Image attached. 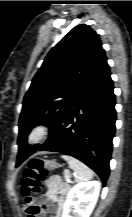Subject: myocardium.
I'll list each match as a JSON object with an SVG mask.
<instances>
[{"instance_id": "myocardium-1", "label": "myocardium", "mask_w": 132, "mask_h": 217, "mask_svg": "<svg viewBox=\"0 0 132 217\" xmlns=\"http://www.w3.org/2000/svg\"><path fill=\"white\" fill-rule=\"evenodd\" d=\"M48 134V128L45 125L39 124L34 126L28 133L26 141L30 145L40 143Z\"/></svg>"}]
</instances>
